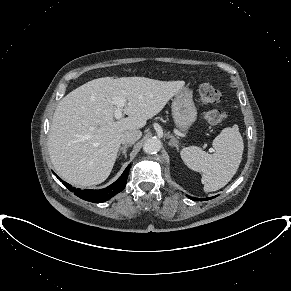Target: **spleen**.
<instances>
[{"instance_id":"obj_1","label":"spleen","mask_w":291,"mask_h":291,"mask_svg":"<svg viewBox=\"0 0 291 291\" xmlns=\"http://www.w3.org/2000/svg\"><path fill=\"white\" fill-rule=\"evenodd\" d=\"M215 152L209 154L197 146L185 147L180 155L192 170L202 173L201 182L205 192L224 187L235 175L242 160L243 138L237 125L225 128L213 140Z\"/></svg>"}]
</instances>
